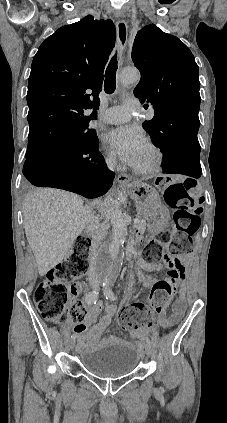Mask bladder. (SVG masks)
<instances>
[{"label": "bladder", "instance_id": "31cf9c89", "mask_svg": "<svg viewBox=\"0 0 227 423\" xmlns=\"http://www.w3.org/2000/svg\"><path fill=\"white\" fill-rule=\"evenodd\" d=\"M141 360L131 343H112L83 354L79 364L98 378H122L130 375Z\"/></svg>", "mask_w": 227, "mask_h": 423}]
</instances>
